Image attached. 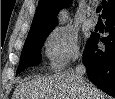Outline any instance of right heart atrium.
I'll use <instances>...</instances> for the list:
<instances>
[{"instance_id":"1","label":"right heart atrium","mask_w":115,"mask_h":99,"mask_svg":"<svg viewBox=\"0 0 115 99\" xmlns=\"http://www.w3.org/2000/svg\"><path fill=\"white\" fill-rule=\"evenodd\" d=\"M43 45L45 56L53 69H60L80 56L78 36L70 27L53 29Z\"/></svg>"}]
</instances>
